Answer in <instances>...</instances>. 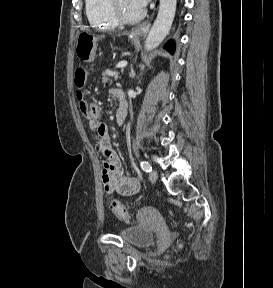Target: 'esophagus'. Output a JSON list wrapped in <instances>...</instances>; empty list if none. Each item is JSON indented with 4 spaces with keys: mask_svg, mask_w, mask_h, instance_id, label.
<instances>
[{
    "mask_svg": "<svg viewBox=\"0 0 273 288\" xmlns=\"http://www.w3.org/2000/svg\"><path fill=\"white\" fill-rule=\"evenodd\" d=\"M150 28V22H146L143 25H141L136 31L138 34H144L146 33Z\"/></svg>",
    "mask_w": 273,
    "mask_h": 288,
    "instance_id": "34e87169",
    "label": "esophagus"
}]
</instances>
